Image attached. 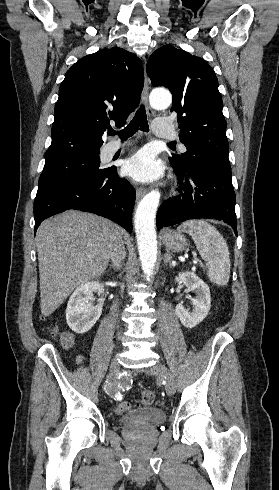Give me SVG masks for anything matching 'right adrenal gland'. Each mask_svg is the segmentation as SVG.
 <instances>
[{
	"instance_id": "1",
	"label": "right adrenal gland",
	"mask_w": 279,
	"mask_h": 490,
	"mask_svg": "<svg viewBox=\"0 0 279 490\" xmlns=\"http://www.w3.org/2000/svg\"><path fill=\"white\" fill-rule=\"evenodd\" d=\"M109 270H115L116 272V270H119V268H115V266H110Z\"/></svg>"
}]
</instances>
